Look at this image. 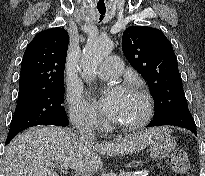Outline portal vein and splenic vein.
Instances as JSON below:
<instances>
[{
  "label": "portal vein and splenic vein",
  "instance_id": "1",
  "mask_svg": "<svg viewBox=\"0 0 205 176\" xmlns=\"http://www.w3.org/2000/svg\"><path fill=\"white\" fill-rule=\"evenodd\" d=\"M46 165H48L52 168L61 169L62 171L68 170V166L66 164H55V163H52V162H47ZM81 176H88V175H81Z\"/></svg>",
  "mask_w": 205,
  "mask_h": 176
}]
</instances>
